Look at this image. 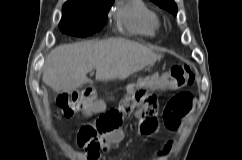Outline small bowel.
Listing matches in <instances>:
<instances>
[{"label": "small bowel", "mask_w": 242, "mask_h": 160, "mask_svg": "<svg viewBox=\"0 0 242 160\" xmlns=\"http://www.w3.org/2000/svg\"><path fill=\"white\" fill-rule=\"evenodd\" d=\"M126 99L127 98H125L123 100L121 106L119 107L120 110L123 109V104H124V102H125ZM98 110H99V108H98ZM91 113L92 112H86V115H90ZM164 121H165V119H164ZM180 123H181V117H179V118L176 119L175 124L172 127L168 126L166 124V121H165L166 126L171 131H176L179 128ZM142 124H143V120L140 119V132L142 134H144V135H148V134H145V133H143L141 131ZM122 139H123V132H122V130H120L118 128L115 131L110 132V133L106 134L105 136L101 137L100 140H99V147L98 148L91 149L88 145L84 146L86 148V150H87L88 160H96L97 159L98 152L100 150H107L110 147L119 144L122 141ZM169 148H170V145H167L164 151L165 152L168 151Z\"/></svg>", "instance_id": "obj_1"}]
</instances>
